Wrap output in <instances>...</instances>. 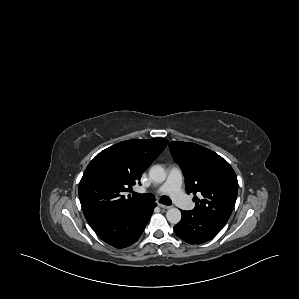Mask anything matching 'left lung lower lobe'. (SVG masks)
<instances>
[{
	"label": "left lung lower lobe",
	"mask_w": 299,
	"mask_h": 299,
	"mask_svg": "<svg viewBox=\"0 0 299 299\" xmlns=\"http://www.w3.org/2000/svg\"><path fill=\"white\" fill-rule=\"evenodd\" d=\"M182 219L174 227L176 235L189 244H201L215 237L221 230L206 217L198 215L193 210L181 211Z\"/></svg>",
	"instance_id": "left-lung-lower-lobe-1"
}]
</instances>
